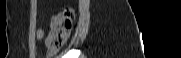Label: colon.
Segmentation results:
<instances>
[{"label":"colon","mask_w":181,"mask_h":58,"mask_svg":"<svg viewBox=\"0 0 181 58\" xmlns=\"http://www.w3.org/2000/svg\"><path fill=\"white\" fill-rule=\"evenodd\" d=\"M74 20L72 8H65L56 14L51 22V31L47 38V45L53 50L59 49L67 41Z\"/></svg>","instance_id":"1"}]
</instances>
